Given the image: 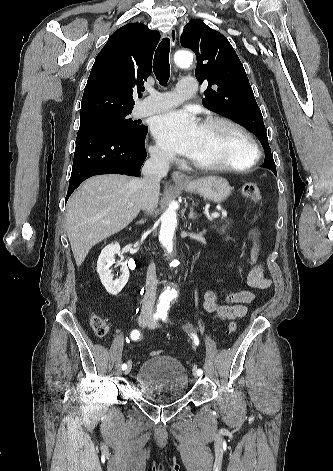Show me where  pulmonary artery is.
Masks as SVG:
<instances>
[{"label": "pulmonary artery", "mask_w": 333, "mask_h": 471, "mask_svg": "<svg viewBox=\"0 0 333 471\" xmlns=\"http://www.w3.org/2000/svg\"><path fill=\"white\" fill-rule=\"evenodd\" d=\"M195 91L196 81L191 77H184L178 82L174 92H153L144 99L137 107V114L147 116L165 111L193 96Z\"/></svg>", "instance_id": "pulmonary-artery-1"}]
</instances>
